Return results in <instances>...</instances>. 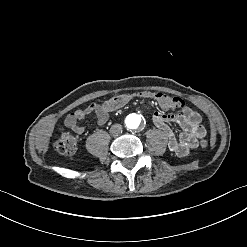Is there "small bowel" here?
<instances>
[{"label":"small bowel","instance_id":"c3829d8e","mask_svg":"<svg viewBox=\"0 0 247 247\" xmlns=\"http://www.w3.org/2000/svg\"><path fill=\"white\" fill-rule=\"evenodd\" d=\"M108 111L106 105L92 103L71 112L65 119V125L76 134L81 135L85 133V128L79 124L80 121L90 115H95L97 123L103 125L109 118ZM168 111L161 108V111L154 112L152 122L164 132L170 151L180 158L187 157L192 150L199 146V140L205 136V129L201 125V116L189 107H184L178 113ZM170 124H176L182 129L179 136L174 133Z\"/></svg>","mask_w":247,"mask_h":247}]
</instances>
